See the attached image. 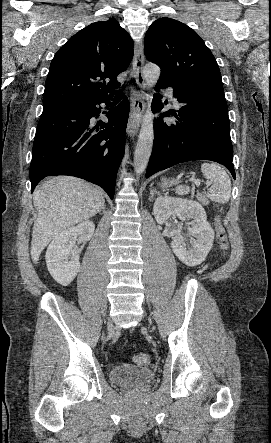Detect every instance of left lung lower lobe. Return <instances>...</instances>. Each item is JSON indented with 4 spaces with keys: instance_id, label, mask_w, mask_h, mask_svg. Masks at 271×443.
I'll return each instance as SVG.
<instances>
[{
    "instance_id": "obj_1",
    "label": "left lung lower lobe",
    "mask_w": 271,
    "mask_h": 443,
    "mask_svg": "<svg viewBox=\"0 0 271 443\" xmlns=\"http://www.w3.org/2000/svg\"><path fill=\"white\" fill-rule=\"evenodd\" d=\"M172 87L182 104L178 116L163 113L154 123V143L146 178L178 163L211 160L224 165L235 179L228 109L222 88L161 74L156 89ZM153 112L162 109L155 94ZM175 115L176 123L163 117Z\"/></svg>"
}]
</instances>
